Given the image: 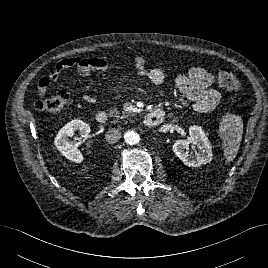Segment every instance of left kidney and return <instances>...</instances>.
Returning <instances> with one entry per match:
<instances>
[{
    "label": "left kidney",
    "instance_id": "5707ae66",
    "mask_svg": "<svg viewBox=\"0 0 268 268\" xmlns=\"http://www.w3.org/2000/svg\"><path fill=\"white\" fill-rule=\"evenodd\" d=\"M189 135L187 140H178L174 143L172 149L175 155L189 167H199L209 163L213 157L212 147L203 129L196 125L191 126ZM190 144L197 147L200 152H190Z\"/></svg>",
    "mask_w": 268,
    "mask_h": 268
}]
</instances>
